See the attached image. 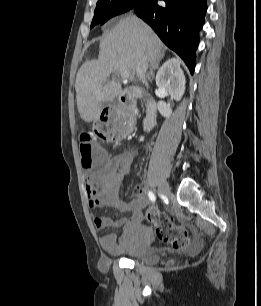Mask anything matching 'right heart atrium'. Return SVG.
<instances>
[{
  "mask_svg": "<svg viewBox=\"0 0 261 306\" xmlns=\"http://www.w3.org/2000/svg\"><path fill=\"white\" fill-rule=\"evenodd\" d=\"M132 5V0H116L115 6L120 13L127 11Z\"/></svg>",
  "mask_w": 261,
  "mask_h": 306,
  "instance_id": "d8ad5b80",
  "label": "right heart atrium"
}]
</instances>
